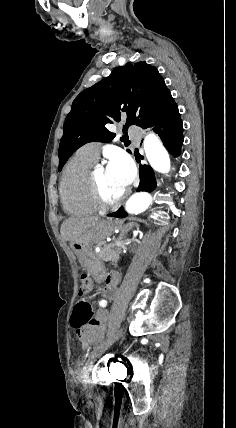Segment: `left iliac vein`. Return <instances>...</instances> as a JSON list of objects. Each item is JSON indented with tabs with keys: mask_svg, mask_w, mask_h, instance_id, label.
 Instances as JSON below:
<instances>
[{
	"mask_svg": "<svg viewBox=\"0 0 236 428\" xmlns=\"http://www.w3.org/2000/svg\"><path fill=\"white\" fill-rule=\"evenodd\" d=\"M117 333L115 332L113 335H109V338H106L105 339V342L106 343H112L113 342V340H116L117 339ZM96 362H97V358H96V356H91V357H89V359H88V363H87V365H85V367H84V370H85V372H87V373H90V372H92V370H93V368H94V365L96 364Z\"/></svg>",
	"mask_w": 236,
	"mask_h": 428,
	"instance_id": "1",
	"label": "left iliac vein"
}]
</instances>
